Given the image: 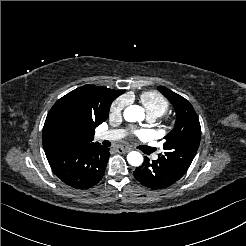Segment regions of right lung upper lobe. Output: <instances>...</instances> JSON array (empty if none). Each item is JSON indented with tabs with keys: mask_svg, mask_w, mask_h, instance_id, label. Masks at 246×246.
Masks as SVG:
<instances>
[{
	"mask_svg": "<svg viewBox=\"0 0 246 246\" xmlns=\"http://www.w3.org/2000/svg\"><path fill=\"white\" fill-rule=\"evenodd\" d=\"M124 90L84 85L60 98L49 111L42 132L44 149L57 144L93 143L95 128L109 115Z\"/></svg>",
	"mask_w": 246,
	"mask_h": 246,
	"instance_id": "cb5924a9",
	"label": "right lung upper lobe"
}]
</instances>
